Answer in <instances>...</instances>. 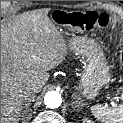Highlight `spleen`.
<instances>
[{
	"instance_id": "spleen-1",
	"label": "spleen",
	"mask_w": 123,
	"mask_h": 123,
	"mask_svg": "<svg viewBox=\"0 0 123 123\" xmlns=\"http://www.w3.org/2000/svg\"><path fill=\"white\" fill-rule=\"evenodd\" d=\"M120 99L123 101V90ZM91 112L101 123H123V103L113 109L103 105H94L91 107Z\"/></svg>"
}]
</instances>
